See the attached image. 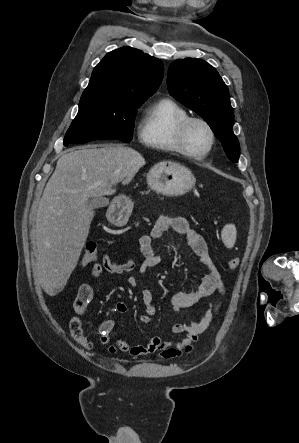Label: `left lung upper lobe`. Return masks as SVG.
<instances>
[{
  "instance_id": "left-lung-upper-lobe-1",
  "label": "left lung upper lobe",
  "mask_w": 299,
  "mask_h": 443,
  "mask_svg": "<svg viewBox=\"0 0 299 443\" xmlns=\"http://www.w3.org/2000/svg\"><path fill=\"white\" fill-rule=\"evenodd\" d=\"M167 85L171 96L208 123L227 157L238 162L240 145L233 133V108L216 69L203 60L179 59L169 67Z\"/></svg>"
}]
</instances>
